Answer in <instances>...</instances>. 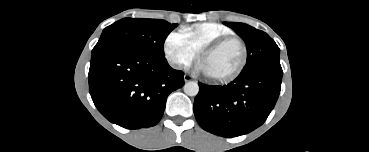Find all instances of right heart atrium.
Segmentation results:
<instances>
[{"instance_id": "1", "label": "right heart atrium", "mask_w": 369, "mask_h": 152, "mask_svg": "<svg viewBox=\"0 0 369 152\" xmlns=\"http://www.w3.org/2000/svg\"><path fill=\"white\" fill-rule=\"evenodd\" d=\"M163 51L168 62L180 70L189 68L198 57V53L190 46L181 31H172L167 35Z\"/></svg>"}]
</instances>
